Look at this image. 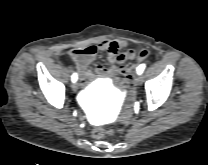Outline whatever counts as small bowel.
<instances>
[{
  "mask_svg": "<svg viewBox=\"0 0 208 165\" xmlns=\"http://www.w3.org/2000/svg\"><path fill=\"white\" fill-rule=\"evenodd\" d=\"M125 47L126 44L123 41L105 39L97 45H88L79 49V52H73L71 58L76 64L82 87L97 78H111V91L107 99L111 103L116 102L119 95L124 93L123 80L120 76H117L120 73L119 68L124 66L125 62L138 58L134 51L125 49ZM98 52H106L108 62L111 64L119 63L120 66H112L108 69L101 65L92 67L91 63Z\"/></svg>",
  "mask_w": 208,
  "mask_h": 165,
  "instance_id": "c3829d8e",
  "label": "small bowel"
}]
</instances>
